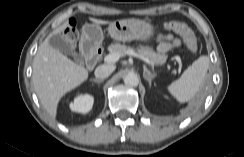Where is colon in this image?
<instances>
[{
	"label": "colon",
	"instance_id": "1",
	"mask_svg": "<svg viewBox=\"0 0 244 157\" xmlns=\"http://www.w3.org/2000/svg\"><path fill=\"white\" fill-rule=\"evenodd\" d=\"M166 29L172 30L181 36L190 51L198 50V41L193 31L184 23L178 21H170L164 24ZM65 40L73 45L77 39V31L73 25H70L64 32Z\"/></svg>",
	"mask_w": 244,
	"mask_h": 157
}]
</instances>
